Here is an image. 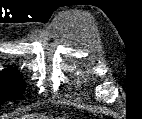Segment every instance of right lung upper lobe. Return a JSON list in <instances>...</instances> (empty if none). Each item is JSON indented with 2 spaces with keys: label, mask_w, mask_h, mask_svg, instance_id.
I'll list each match as a JSON object with an SVG mask.
<instances>
[{
  "label": "right lung upper lobe",
  "mask_w": 142,
  "mask_h": 119,
  "mask_svg": "<svg viewBox=\"0 0 142 119\" xmlns=\"http://www.w3.org/2000/svg\"><path fill=\"white\" fill-rule=\"evenodd\" d=\"M6 70H8V71H13L14 69L13 68H11V67H9V68H7ZM5 70V71H6ZM16 71V70H15Z\"/></svg>",
  "instance_id": "right-lung-upper-lobe-1"
}]
</instances>
